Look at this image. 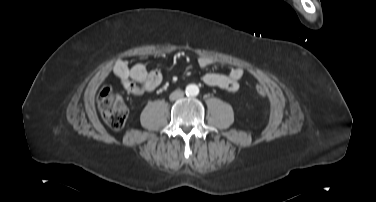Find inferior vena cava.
<instances>
[{"label":"inferior vena cava","mask_w":376,"mask_h":202,"mask_svg":"<svg viewBox=\"0 0 376 202\" xmlns=\"http://www.w3.org/2000/svg\"><path fill=\"white\" fill-rule=\"evenodd\" d=\"M184 96V92L180 89L178 90H175L174 92H172L169 96V99L170 100H177V99H180Z\"/></svg>","instance_id":"602c4592"}]
</instances>
